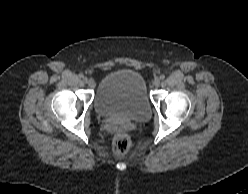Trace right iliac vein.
<instances>
[{
    "label": "right iliac vein",
    "instance_id": "1",
    "mask_svg": "<svg viewBox=\"0 0 248 194\" xmlns=\"http://www.w3.org/2000/svg\"><path fill=\"white\" fill-rule=\"evenodd\" d=\"M83 82L84 83H88V78L87 77H83Z\"/></svg>",
    "mask_w": 248,
    "mask_h": 194
}]
</instances>
